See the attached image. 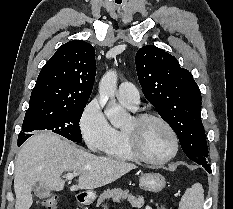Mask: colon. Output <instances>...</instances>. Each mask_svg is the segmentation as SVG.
<instances>
[{
	"instance_id": "obj_1",
	"label": "colon",
	"mask_w": 233,
	"mask_h": 209,
	"mask_svg": "<svg viewBox=\"0 0 233 209\" xmlns=\"http://www.w3.org/2000/svg\"><path fill=\"white\" fill-rule=\"evenodd\" d=\"M42 206L44 209H58V198L49 197L42 201Z\"/></svg>"
}]
</instances>
